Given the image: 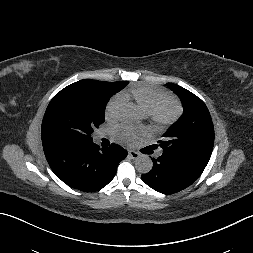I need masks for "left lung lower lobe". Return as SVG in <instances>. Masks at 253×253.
Segmentation results:
<instances>
[{"mask_svg": "<svg viewBox=\"0 0 253 253\" xmlns=\"http://www.w3.org/2000/svg\"><path fill=\"white\" fill-rule=\"evenodd\" d=\"M152 161V170L141 178L149 187L163 194H172L187 188L198 179L205 168L171 153H163L157 159L152 158Z\"/></svg>", "mask_w": 253, "mask_h": 253, "instance_id": "obj_1", "label": "left lung lower lobe"}]
</instances>
